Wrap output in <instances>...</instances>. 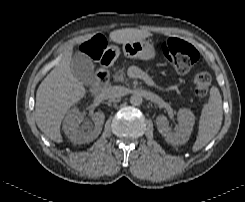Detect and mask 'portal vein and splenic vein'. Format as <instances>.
Returning a JSON list of instances; mask_svg holds the SVG:
<instances>
[{
    "instance_id": "obj_1",
    "label": "portal vein and splenic vein",
    "mask_w": 245,
    "mask_h": 202,
    "mask_svg": "<svg viewBox=\"0 0 245 202\" xmlns=\"http://www.w3.org/2000/svg\"><path fill=\"white\" fill-rule=\"evenodd\" d=\"M129 75L131 78H142L143 80H145L150 85H152V86L154 85L152 79L146 73H144L141 69H139L136 66L129 67Z\"/></svg>"
}]
</instances>
